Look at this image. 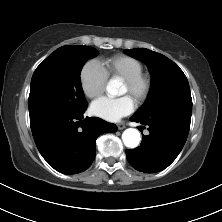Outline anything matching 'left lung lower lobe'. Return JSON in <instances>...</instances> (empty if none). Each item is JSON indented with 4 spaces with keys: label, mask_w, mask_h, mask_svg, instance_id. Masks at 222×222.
Listing matches in <instances>:
<instances>
[{
    "label": "left lung lower lobe",
    "mask_w": 222,
    "mask_h": 222,
    "mask_svg": "<svg viewBox=\"0 0 222 222\" xmlns=\"http://www.w3.org/2000/svg\"><path fill=\"white\" fill-rule=\"evenodd\" d=\"M130 120L148 125L150 135L142 134L141 146L126 150L127 160L138 171L155 173L168 167L182 150L191 115L177 108H167L151 114H135Z\"/></svg>",
    "instance_id": "obj_1"
}]
</instances>
